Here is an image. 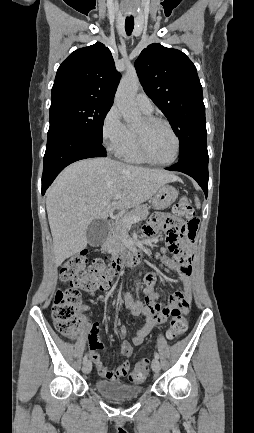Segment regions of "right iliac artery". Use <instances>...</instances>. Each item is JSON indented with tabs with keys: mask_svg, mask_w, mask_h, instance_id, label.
<instances>
[{
	"mask_svg": "<svg viewBox=\"0 0 254 433\" xmlns=\"http://www.w3.org/2000/svg\"><path fill=\"white\" fill-rule=\"evenodd\" d=\"M87 360H88V354H86V355L84 356V358H83V363L87 362Z\"/></svg>",
	"mask_w": 254,
	"mask_h": 433,
	"instance_id": "82829eb1",
	"label": "right iliac artery"
}]
</instances>
